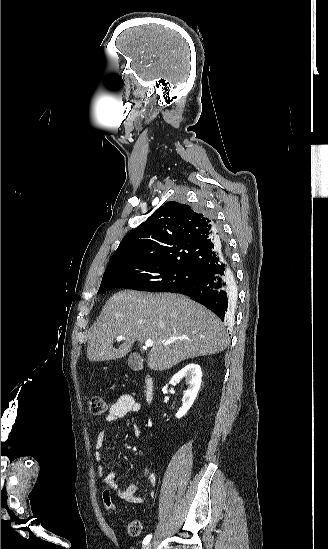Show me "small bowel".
<instances>
[{"instance_id":"obj_1","label":"small bowel","mask_w":328,"mask_h":549,"mask_svg":"<svg viewBox=\"0 0 328 549\" xmlns=\"http://www.w3.org/2000/svg\"><path fill=\"white\" fill-rule=\"evenodd\" d=\"M140 404L128 394L120 395L117 400L110 406L108 414L106 416V422L111 424L115 421H118L124 418L130 413H137L140 411ZM107 431L105 429L101 430L94 442L95 449V460L97 462L102 461V452L101 448L106 440ZM97 473L102 477V482L104 485L114 490L116 495L130 504H140L145 501H150L154 496V486L156 483V475L152 470H146L144 473V479H146L151 487L149 495L147 497L140 496L137 494L139 485L131 484L127 487H120L117 482V475L113 471H106L102 465H99L97 468Z\"/></svg>"}]
</instances>
